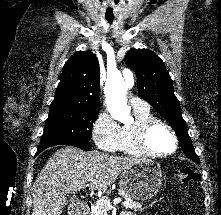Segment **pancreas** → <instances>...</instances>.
Masks as SVG:
<instances>
[{
    "mask_svg": "<svg viewBox=\"0 0 221 215\" xmlns=\"http://www.w3.org/2000/svg\"><path fill=\"white\" fill-rule=\"evenodd\" d=\"M119 195L125 198V202H123V206L126 209H140L142 205L139 202L133 201L124 191L119 190ZM105 200H109L108 196L104 197ZM110 207L107 206L104 202H96L91 215H108V211Z\"/></svg>",
    "mask_w": 221,
    "mask_h": 215,
    "instance_id": "obj_1",
    "label": "pancreas"
}]
</instances>
